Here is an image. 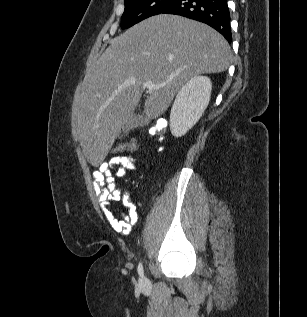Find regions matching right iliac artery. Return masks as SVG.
Listing matches in <instances>:
<instances>
[{"label":"right iliac artery","instance_id":"1","mask_svg":"<svg viewBox=\"0 0 307 317\" xmlns=\"http://www.w3.org/2000/svg\"><path fill=\"white\" fill-rule=\"evenodd\" d=\"M138 274L140 275V277H143V275H144L142 263L138 264Z\"/></svg>","mask_w":307,"mask_h":317}]
</instances>
